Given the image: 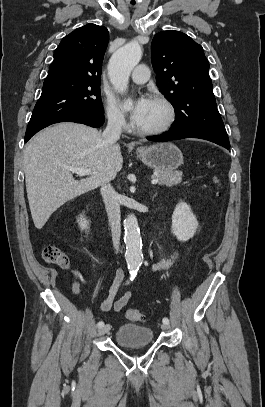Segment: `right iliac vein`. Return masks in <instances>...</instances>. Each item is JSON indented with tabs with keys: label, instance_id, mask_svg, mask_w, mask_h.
<instances>
[{
	"label": "right iliac vein",
	"instance_id": "obj_1",
	"mask_svg": "<svg viewBox=\"0 0 265 407\" xmlns=\"http://www.w3.org/2000/svg\"><path fill=\"white\" fill-rule=\"evenodd\" d=\"M109 330H110V325L109 324L104 325L102 328H100L98 330V336H102V335L106 334Z\"/></svg>",
	"mask_w": 265,
	"mask_h": 407
}]
</instances>
